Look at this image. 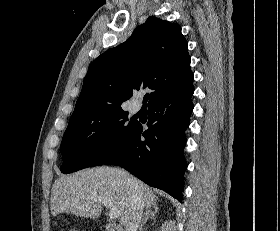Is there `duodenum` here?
I'll return each instance as SVG.
<instances>
[{
  "label": "duodenum",
  "mask_w": 280,
  "mask_h": 231,
  "mask_svg": "<svg viewBox=\"0 0 280 231\" xmlns=\"http://www.w3.org/2000/svg\"><path fill=\"white\" fill-rule=\"evenodd\" d=\"M105 231H123V228L117 224L110 223L108 221L105 222Z\"/></svg>",
  "instance_id": "410a0bca"
}]
</instances>
